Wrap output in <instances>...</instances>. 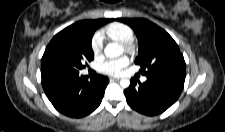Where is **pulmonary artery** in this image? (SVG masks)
<instances>
[{
  "label": "pulmonary artery",
  "instance_id": "obj_1",
  "mask_svg": "<svg viewBox=\"0 0 225 132\" xmlns=\"http://www.w3.org/2000/svg\"><path fill=\"white\" fill-rule=\"evenodd\" d=\"M146 80H147L146 77H142V78H141V81H142V82H145Z\"/></svg>",
  "mask_w": 225,
  "mask_h": 132
}]
</instances>
